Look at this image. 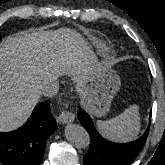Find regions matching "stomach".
I'll return each instance as SVG.
<instances>
[{"mask_svg": "<svg viewBox=\"0 0 165 165\" xmlns=\"http://www.w3.org/2000/svg\"><path fill=\"white\" fill-rule=\"evenodd\" d=\"M120 85V77L112 68L92 69L82 88L86 110L95 117L105 116Z\"/></svg>", "mask_w": 165, "mask_h": 165, "instance_id": "stomach-1", "label": "stomach"}]
</instances>
